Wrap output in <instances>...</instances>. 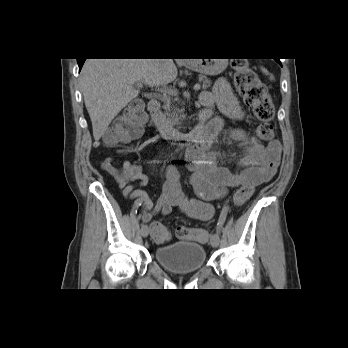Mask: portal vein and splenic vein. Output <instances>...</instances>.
Masks as SVG:
<instances>
[{
  "mask_svg": "<svg viewBox=\"0 0 348 348\" xmlns=\"http://www.w3.org/2000/svg\"><path fill=\"white\" fill-rule=\"evenodd\" d=\"M138 86H141V84H138ZM201 89V86L200 84H195L194 85V90L195 91H199ZM169 95H177L178 94V91L176 89H171V88H164L163 90H161Z\"/></svg>",
  "mask_w": 348,
  "mask_h": 348,
  "instance_id": "obj_1",
  "label": "portal vein and splenic vein"
}]
</instances>
